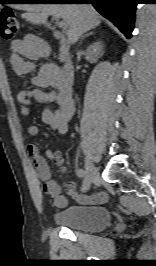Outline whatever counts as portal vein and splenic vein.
I'll use <instances>...</instances> for the list:
<instances>
[{
	"label": "portal vein and splenic vein",
	"instance_id": "obj_1",
	"mask_svg": "<svg viewBox=\"0 0 156 266\" xmlns=\"http://www.w3.org/2000/svg\"><path fill=\"white\" fill-rule=\"evenodd\" d=\"M56 23H57V25H58V27H60V28H62V29H67V27H68V24H67V22L66 21H64V20H59V19H56Z\"/></svg>",
	"mask_w": 156,
	"mask_h": 266
}]
</instances>
